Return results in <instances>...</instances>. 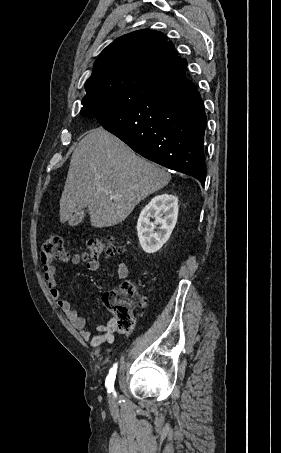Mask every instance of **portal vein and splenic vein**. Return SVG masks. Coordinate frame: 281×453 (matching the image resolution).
Masks as SVG:
<instances>
[{"instance_id": "18ae733b", "label": "portal vein and splenic vein", "mask_w": 281, "mask_h": 453, "mask_svg": "<svg viewBox=\"0 0 281 453\" xmlns=\"http://www.w3.org/2000/svg\"><path fill=\"white\" fill-rule=\"evenodd\" d=\"M105 194H111L110 190H105ZM111 198H118L116 194H112Z\"/></svg>"}]
</instances>
